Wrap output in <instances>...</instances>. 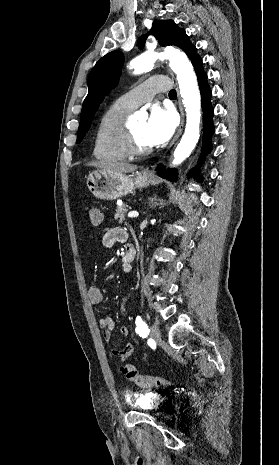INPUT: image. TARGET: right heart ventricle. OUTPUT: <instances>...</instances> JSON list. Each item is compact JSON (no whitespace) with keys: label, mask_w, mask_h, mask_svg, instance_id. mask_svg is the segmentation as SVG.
I'll return each instance as SVG.
<instances>
[{"label":"right heart ventricle","mask_w":279,"mask_h":465,"mask_svg":"<svg viewBox=\"0 0 279 465\" xmlns=\"http://www.w3.org/2000/svg\"><path fill=\"white\" fill-rule=\"evenodd\" d=\"M130 109L112 104L102 115L94 141L93 155L96 159L105 162L122 161L128 155L122 141L125 130V121Z\"/></svg>","instance_id":"1"}]
</instances>
